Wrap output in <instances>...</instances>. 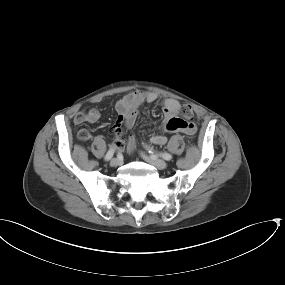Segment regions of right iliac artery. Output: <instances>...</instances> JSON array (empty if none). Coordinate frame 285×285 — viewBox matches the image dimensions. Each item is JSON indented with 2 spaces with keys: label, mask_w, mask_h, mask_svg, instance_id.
<instances>
[{
  "label": "right iliac artery",
  "mask_w": 285,
  "mask_h": 285,
  "mask_svg": "<svg viewBox=\"0 0 285 285\" xmlns=\"http://www.w3.org/2000/svg\"><path fill=\"white\" fill-rule=\"evenodd\" d=\"M113 155H114V149L111 148V149L107 152V154H106V156H105V160H106V161H109V160L113 157Z\"/></svg>",
  "instance_id": "1"
}]
</instances>
